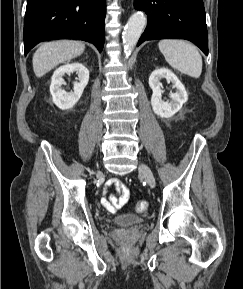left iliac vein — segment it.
I'll return each mask as SVG.
<instances>
[{
	"label": "left iliac vein",
	"instance_id": "obj_1",
	"mask_svg": "<svg viewBox=\"0 0 243 289\" xmlns=\"http://www.w3.org/2000/svg\"><path fill=\"white\" fill-rule=\"evenodd\" d=\"M139 173L143 176V178L151 188H154L156 186L154 175L151 169L146 164L139 165Z\"/></svg>",
	"mask_w": 243,
	"mask_h": 289
}]
</instances>
